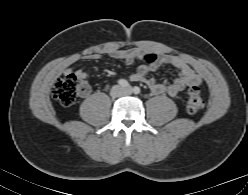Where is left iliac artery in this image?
Returning <instances> with one entry per match:
<instances>
[{"label":"left iliac artery","mask_w":248,"mask_h":195,"mask_svg":"<svg viewBox=\"0 0 248 195\" xmlns=\"http://www.w3.org/2000/svg\"><path fill=\"white\" fill-rule=\"evenodd\" d=\"M133 92H134V94H139L140 93V88L138 87V86H135V87H133Z\"/></svg>","instance_id":"left-iliac-artery-1"}]
</instances>
